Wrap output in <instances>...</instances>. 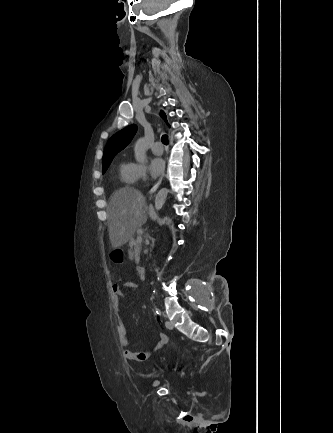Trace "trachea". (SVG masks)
<instances>
[{"instance_id":"1","label":"trachea","mask_w":333,"mask_h":433,"mask_svg":"<svg viewBox=\"0 0 333 433\" xmlns=\"http://www.w3.org/2000/svg\"><path fill=\"white\" fill-rule=\"evenodd\" d=\"M161 140H162L163 144L168 145L169 142H168V136L167 135H163Z\"/></svg>"}]
</instances>
